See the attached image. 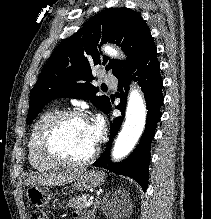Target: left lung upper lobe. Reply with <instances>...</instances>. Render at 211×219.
Returning a JSON list of instances; mask_svg holds the SVG:
<instances>
[{
    "label": "left lung upper lobe",
    "mask_w": 211,
    "mask_h": 219,
    "mask_svg": "<svg viewBox=\"0 0 211 219\" xmlns=\"http://www.w3.org/2000/svg\"><path fill=\"white\" fill-rule=\"evenodd\" d=\"M150 35L141 15L129 8H110L93 16L52 53L31 91L27 123L30 124L49 101L60 97L89 99L106 113L111 103L107 96L96 95L99 89L91 84L92 68L104 65L107 71L117 75ZM108 41L122 47L126 61L102 56L97 45Z\"/></svg>",
    "instance_id": "left-lung-upper-lobe-1"
}]
</instances>
